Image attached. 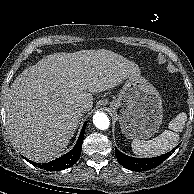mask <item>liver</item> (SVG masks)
Segmentation results:
<instances>
[{
    "label": "liver",
    "instance_id": "6515ba94",
    "mask_svg": "<svg viewBox=\"0 0 194 194\" xmlns=\"http://www.w3.org/2000/svg\"><path fill=\"white\" fill-rule=\"evenodd\" d=\"M139 67L110 50L54 53L25 69L6 97V125L15 147L35 162L59 156L73 137L94 92L112 89Z\"/></svg>",
    "mask_w": 194,
    "mask_h": 194
}]
</instances>
